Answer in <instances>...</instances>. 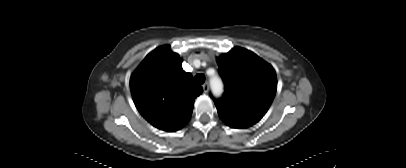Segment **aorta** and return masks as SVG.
Listing matches in <instances>:
<instances>
[{"instance_id":"762f6f07","label":"aorta","mask_w":406,"mask_h":168,"mask_svg":"<svg viewBox=\"0 0 406 168\" xmlns=\"http://www.w3.org/2000/svg\"><path fill=\"white\" fill-rule=\"evenodd\" d=\"M210 85L212 89V93L215 96H220L223 92V83L222 80L218 76H214L210 79Z\"/></svg>"}]
</instances>
